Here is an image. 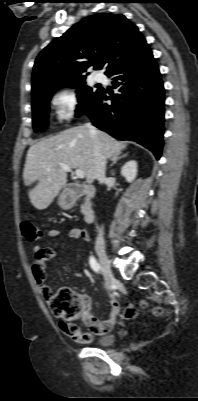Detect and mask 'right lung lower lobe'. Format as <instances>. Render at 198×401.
Returning <instances> with one entry per match:
<instances>
[{
  "instance_id": "98d812e1",
  "label": "right lung lower lobe",
  "mask_w": 198,
  "mask_h": 401,
  "mask_svg": "<svg viewBox=\"0 0 198 401\" xmlns=\"http://www.w3.org/2000/svg\"><path fill=\"white\" fill-rule=\"evenodd\" d=\"M113 87L121 94L107 97L105 89L86 113L94 126L120 140H132L161 156L164 132V88L148 45L112 69ZM111 103H106V100Z\"/></svg>"
}]
</instances>
